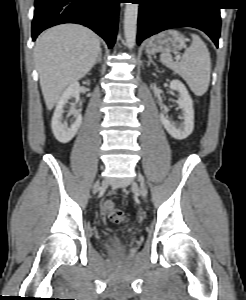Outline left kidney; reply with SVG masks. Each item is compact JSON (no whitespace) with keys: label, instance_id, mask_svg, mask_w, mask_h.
<instances>
[{"label":"left kidney","instance_id":"1","mask_svg":"<svg viewBox=\"0 0 246 300\" xmlns=\"http://www.w3.org/2000/svg\"><path fill=\"white\" fill-rule=\"evenodd\" d=\"M170 88L172 90L178 91L179 98L177 103L183 111V123L176 126L172 121L168 119L166 114L162 112L160 114L161 122L167 132L177 140H183L187 138L194 129V109L193 101L186 89L185 85L175 79L170 82Z\"/></svg>","mask_w":246,"mask_h":300}]
</instances>
